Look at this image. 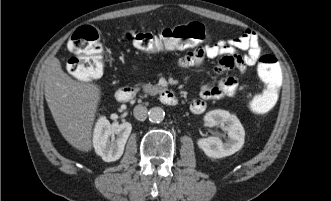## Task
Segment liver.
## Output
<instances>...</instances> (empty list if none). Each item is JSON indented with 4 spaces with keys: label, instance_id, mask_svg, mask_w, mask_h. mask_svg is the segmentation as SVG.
<instances>
[{
    "label": "liver",
    "instance_id": "6515ba94",
    "mask_svg": "<svg viewBox=\"0 0 331 201\" xmlns=\"http://www.w3.org/2000/svg\"><path fill=\"white\" fill-rule=\"evenodd\" d=\"M42 75L45 99L60 133L74 148L90 151L92 128L101 98L99 87L73 80L62 70L56 57L47 61Z\"/></svg>",
    "mask_w": 331,
    "mask_h": 201
}]
</instances>
